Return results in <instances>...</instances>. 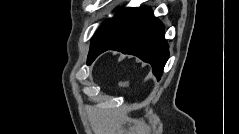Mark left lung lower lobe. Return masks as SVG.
I'll use <instances>...</instances> for the list:
<instances>
[{
  "instance_id": "left-lung-lower-lobe-1",
  "label": "left lung lower lobe",
  "mask_w": 239,
  "mask_h": 134,
  "mask_svg": "<svg viewBox=\"0 0 239 134\" xmlns=\"http://www.w3.org/2000/svg\"><path fill=\"white\" fill-rule=\"evenodd\" d=\"M107 50L132 54L150 63L158 79L169 55L163 25L150 8H125L111 18L91 39L88 64Z\"/></svg>"
}]
</instances>
